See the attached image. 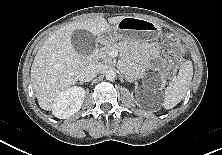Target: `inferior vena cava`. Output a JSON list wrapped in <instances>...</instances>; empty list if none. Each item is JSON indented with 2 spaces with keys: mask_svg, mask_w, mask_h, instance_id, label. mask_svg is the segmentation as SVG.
Here are the masks:
<instances>
[{
  "mask_svg": "<svg viewBox=\"0 0 222 155\" xmlns=\"http://www.w3.org/2000/svg\"><path fill=\"white\" fill-rule=\"evenodd\" d=\"M102 67L99 64H89L86 67H84L80 74V79L87 82L92 80L94 77H96L98 74L101 73Z\"/></svg>",
  "mask_w": 222,
  "mask_h": 155,
  "instance_id": "1",
  "label": "inferior vena cava"
}]
</instances>
